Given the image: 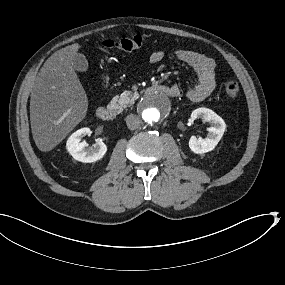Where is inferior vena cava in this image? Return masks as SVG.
Here are the masks:
<instances>
[{
  "instance_id": "obj_1",
  "label": "inferior vena cava",
  "mask_w": 285,
  "mask_h": 285,
  "mask_svg": "<svg viewBox=\"0 0 285 285\" xmlns=\"http://www.w3.org/2000/svg\"><path fill=\"white\" fill-rule=\"evenodd\" d=\"M126 124L130 130H135L140 126V118L135 114H130L126 117Z\"/></svg>"
}]
</instances>
